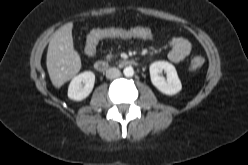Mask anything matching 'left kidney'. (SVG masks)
Wrapping results in <instances>:
<instances>
[{
	"label": "left kidney",
	"mask_w": 248,
	"mask_h": 165,
	"mask_svg": "<svg viewBox=\"0 0 248 165\" xmlns=\"http://www.w3.org/2000/svg\"><path fill=\"white\" fill-rule=\"evenodd\" d=\"M150 78L152 84L166 95H175L182 89L181 81L175 67L167 61H156L150 65ZM164 70L166 79L160 75Z\"/></svg>",
	"instance_id": "obj_1"
}]
</instances>
